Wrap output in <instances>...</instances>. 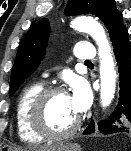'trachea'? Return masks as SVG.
<instances>
[{
  "instance_id": "3493384b",
  "label": "trachea",
  "mask_w": 131,
  "mask_h": 151,
  "mask_svg": "<svg viewBox=\"0 0 131 151\" xmlns=\"http://www.w3.org/2000/svg\"><path fill=\"white\" fill-rule=\"evenodd\" d=\"M91 63L90 61H85V64Z\"/></svg>"
}]
</instances>
